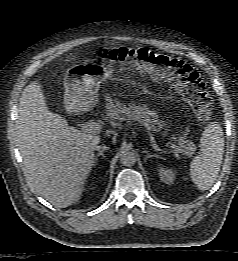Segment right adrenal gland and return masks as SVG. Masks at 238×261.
I'll return each mask as SVG.
<instances>
[{"mask_svg":"<svg viewBox=\"0 0 238 261\" xmlns=\"http://www.w3.org/2000/svg\"><path fill=\"white\" fill-rule=\"evenodd\" d=\"M107 149H109L108 147H106V146H101V149H100V151L98 152V154L96 155V157H95V161H94V165H97V158L99 157V156H102L103 158H105V155H104V150H107Z\"/></svg>","mask_w":238,"mask_h":261,"instance_id":"obj_1","label":"right adrenal gland"}]
</instances>
